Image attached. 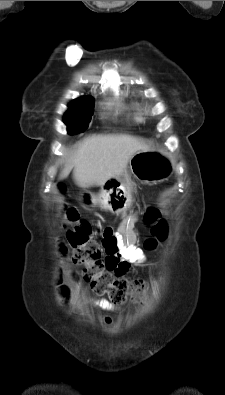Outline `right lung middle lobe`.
<instances>
[{"instance_id": "dd1d6c3e", "label": "right lung middle lobe", "mask_w": 225, "mask_h": 395, "mask_svg": "<svg viewBox=\"0 0 225 395\" xmlns=\"http://www.w3.org/2000/svg\"><path fill=\"white\" fill-rule=\"evenodd\" d=\"M94 109L93 98H79L69 104L64 123L70 134L80 133L88 128Z\"/></svg>"}]
</instances>
